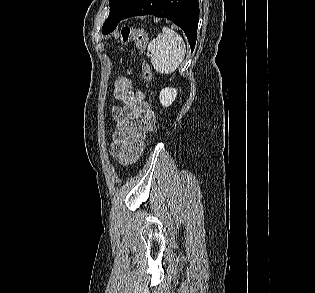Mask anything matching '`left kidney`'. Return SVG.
<instances>
[{
	"label": "left kidney",
	"instance_id": "1",
	"mask_svg": "<svg viewBox=\"0 0 315 293\" xmlns=\"http://www.w3.org/2000/svg\"><path fill=\"white\" fill-rule=\"evenodd\" d=\"M177 96V90L175 88L162 89L159 95L160 103L163 107H169Z\"/></svg>",
	"mask_w": 315,
	"mask_h": 293
}]
</instances>
